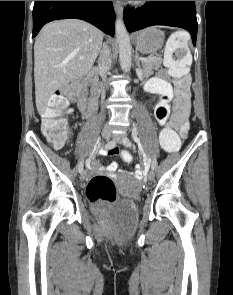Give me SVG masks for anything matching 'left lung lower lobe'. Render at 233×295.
Wrapping results in <instances>:
<instances>
[{
  "label": "left lung lower lobe",
  "mask_w": 233,
  "mask_h": 295,
  "mask_svg": "<svg viewBox=\"0 0 233 295\" xmlns=\"http://www.w3.org/2000/svg\"><path fill=\"white\" fill-rule=\"evenodd\" d=\"M124 22L129 32L152 25H168L188 30L196 45L197 18L194 1H149L140 8H125Z\"/></svg>",
  "instance_id": "obj_1"
}]
</instances>
